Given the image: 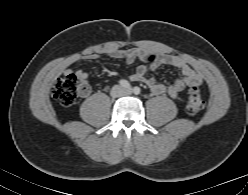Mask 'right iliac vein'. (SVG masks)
I'll list each match as a JSON object with an SVG mask.
<instances>
[{"mask_svg":"<svg viewBox=\"0 0 248 195\" xmlns=\"http://www.w3.org/2000/svg\"><path fill=\"white\" fill-rule=\"evenodd\" d=\"M111 94L113 96H119V95L122 94V90H121V88L119 86H115V87L112 88Z\"/></svg>","mask_w":248,"mask_h":195,"instance_id":"right-iliac-vein-1","label":"right iliac vein"}]
</instances>
